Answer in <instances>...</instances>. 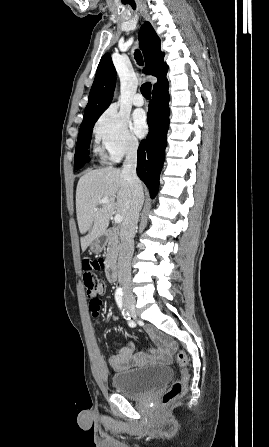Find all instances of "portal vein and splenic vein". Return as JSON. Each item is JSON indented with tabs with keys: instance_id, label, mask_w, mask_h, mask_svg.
Masks as SVG:
<instances>
[{
	"instance_id": "1",
	"label": "portal vein and splenic vein",
	"mask_w": 269,
	"mask_h": 447,
	"mask_svg": "<svg viewBox=\"0 0 269 447\" xmlns=\"http://www.w3.org/2000/svg\"><path fill=\"white\" fill-rule=\"evenodd\" d=\"M109 202V198H102V200H100L99 204H108ZM98 208H94V212H97ZM123 218L122 216H120V214H116L115 218H114V222L115 224H121Z\"/></svg>"
}]
</instances>
